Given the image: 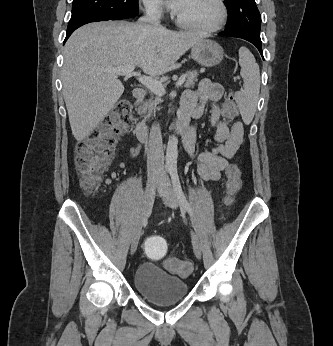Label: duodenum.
Here are the masks:
<instances>
[{"label":"duodenum","instance_id":"obj_1","mask_svg":"<svg viewBox=\"0 0 333 346\" xmlns=\"http://www.w3.org/2000/svg\"><path fill=\"white\" fill-rule=\"evenodd\" d=\"M145 95H146L145 90L142 88H136L133 91V97L137 101H142L145 98ZM138 110L142 112L143 107L140 105L138 107ZM170 129L175 134L183 136V138H186L190 134L189 119L186 117H179L171 125ZM134 134L140 141H146L149 136V131L145 123L143 122L137 123L134 129Z\"/></svg>","mask_w":333,"mask_h":346}]
</instances>
